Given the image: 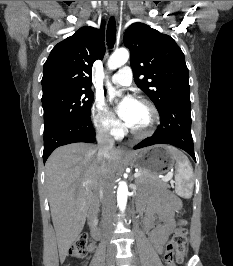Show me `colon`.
I'll use <instances>...</instances> for the list:
<instances>
[{
	"label": "colon",
	"mask_w": 233,
	"mask_h": 266,
	"mask_svg": "<svg viewBox=\"0 0 233 266\" xmlns=\"http://www.w3.org/2000/svg\"><path fill=\"white\" fill-rule=\"evenodd\" d=\"M88 238L86 235H80L73 243L70 249V256L73 258H82L87 252ZM187 252V229L186 222L180 219L176 225L174 233L167 243L164 261L166 266H175L182 263Z\"/></svg>",
	"instance_id": "obj_1"
}]
</instances>
